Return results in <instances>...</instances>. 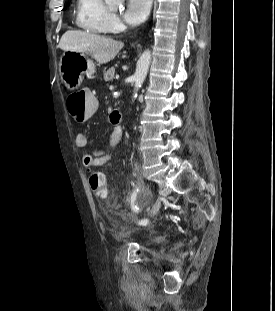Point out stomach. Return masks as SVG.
<instances>
[{"label":"stomach","instance_id":"obj_1","mask_svg":"<svg viewBox=\"0 0 275 311\" xmlns=\"http://www.w3.org/2000/svg\"><path fill=\"white\" fill-rule=\"evenodd\" d=\"M95 69V63L86 54L76 51H65L59 63L62 82L69 90L77 89L84 75L92 76Z\"/></svg>","mask_w":275,"mask_h":311}]
</instances>
